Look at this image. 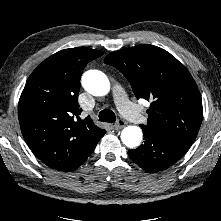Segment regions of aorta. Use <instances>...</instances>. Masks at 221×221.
<instances>
[{
	"label": "aorta",
	"mask_w": 221,
	"mask_h": 221,
	"mask_svg": "<svg viewBox=\"0 0 221 221\" xmlns=\"http://www.w3.org/2000/svg\"><path fill=\"white\" fill-rule=\"evenodd\" d=\"M83 88L94 96H104L110 90L108 77L99 70H88L82 76ZM142 130L138 126H127L121 132V140L129 148H135L142 141Z\"/></svg>",
	"instance_id": "aorta-1"
}]
</instances>
